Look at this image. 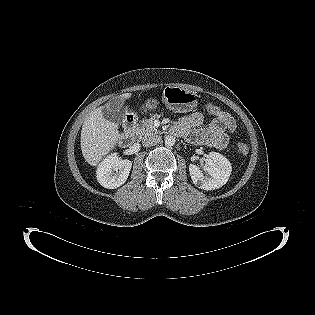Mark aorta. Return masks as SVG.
Here are the masks:
<instances>
[{"label": "aorta", "instance_id": "obj_1", "mask_svg": "<svg viewBox=\"0 0 315 315\" xmlns=\"http://www.w3.org/2000/svg\"><path fill=\"white\" fill-rule=\"evenodd\" d=\"M175 137H173V136H166L165 137V145H167V146H173V145H175Z\"/></svg>", "mask_w": 315, "mask_h": 315}]
</instances>
